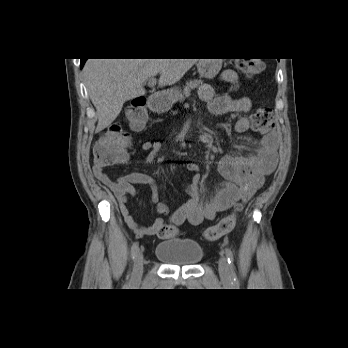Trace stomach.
I'll return each mask as SVG.
<instances>
[{
    "mask_svg": "<svg viewBox=\"0 0 348 348\" xmlns=\"http://www.w3.org/2000/svg\"><path fill=\"white\" fill-rule=\"evenodd\" d=\"M222 67L221 59H199L197 63V70L201 77L206 79L214 78ZM180 90L174 87L170 90L159 94L154 102V108L157 111H167L172 108L173 104L179 99Z\"/></svg>",
    "mask_w": 348,
    "mask_h": 348,
    "instance_id": "stomach-1",
    "label": "stomach"
}]
</instances>
